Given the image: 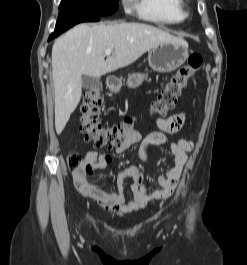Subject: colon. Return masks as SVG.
I'll use <instances>...</instances> for the list:
<instances>
[{"instance_id":"5ec220e1","label":"colon","mask_w":247,"mask_h":265,"mask_svg":"<svg viewBox=\"0 0 247 265\" xmlns=\"http://www.w3.org/2000/svg\"><path fill=\"white\" fill-rule=\"evenodd\" d=\"M202 65V57L193 54L187 64L180 67L167 81L152 104V112L165 115L172 110L178 97L186 87L189 79ZM103 97L98 88H91L84 96L82 105V117L80 132L85 142H91L95 148L114 149L121 147L137 131L134 127V118L127 117L123 123L104 127L100 121V109ZM82 158L77 153H71L68 157L69 169L73 172L81 167Z\"/></svg>"}]
</instances>
